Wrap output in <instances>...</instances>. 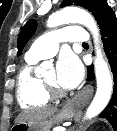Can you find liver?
Masks as SVG:
<instances>
[{"instance_id": "obj_1", "label": "liver", "mask_w": 117, "mask_h": 131, "mask_svg": "<svg viewBox=\"0 0 117 131\" xmlns=\"http://www.w3.org/2000/svg\"><path fill=\"white\" fill-rule=\"evenodd\" d=\"M57 112V108H38L28 109L21 112L15 120V123L24 121L44 120L53 116Z\"/></svg>"}]
</instances>
